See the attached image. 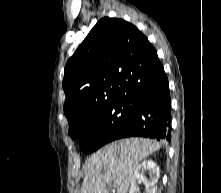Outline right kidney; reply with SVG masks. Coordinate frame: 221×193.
<instances>
[{"instance_id": "right-kidney-1", "label": "right kidney", "mask_w": 221, "mask_h": 193, "mask_svg": "<svg viewBox=\"0 0 221 193\" xmlns=\"http://www.w3.org/2000/svg\"><path fill=\"white\" fill-rule=\"evenodd\" d=\"M149 171L150 178L147 179L144 173ZM160 176L159 166L153 160H147L142 162L135 170L134 175L131 178V187L129 193H138V185L141 182L145 183L146 193H156L158 182Z\"/></svg>"}]
</instances>
